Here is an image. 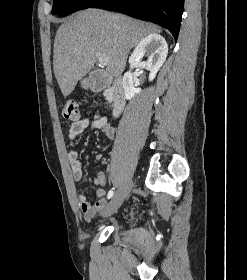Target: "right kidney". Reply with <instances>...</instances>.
I'll return each instance as SVG.
<instances>
[{"label": "right kidney", "mask_w": 247, "mask_h": 280, "mask_svg": "<svg viewBox=\"0 0 247 280\" xmlns=\"http://www.w3.org/2000/svg\"><path fill=\"white\" fill-rule=\"evenodd\" d=\"M167 54L168 45L165 39L157 33L148 35L140 41L131 54L130 67L131 69L138 68L150 71L149 81H152L165 62ZM144 56L148 57L147 61H142ZM123 88L127 100H131L141 92L140 88H135L131 70L124 75Z\"/></svg>", "instance_id": "1"}]
</instances>
